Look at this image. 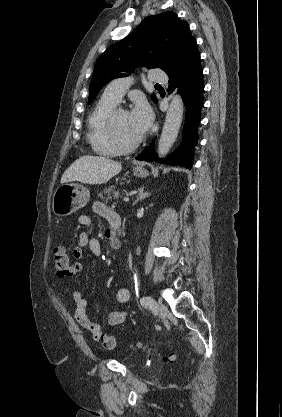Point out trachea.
<instances>
[{
  "instance_id": "trachea-1",
  "label": "trachea",
  "mask_w": 282,
  "mask_h": 417,
  "mask_svg": "<svg viewBox=\"0 0 282 417\" xmlns=\"http://www.w3.org/2000/svg\"><path fill=\"white\" fill-rule=\"evenodd\" d=\"M155 86H160V84H155Z\"/></svg>"
}]
</instances>
